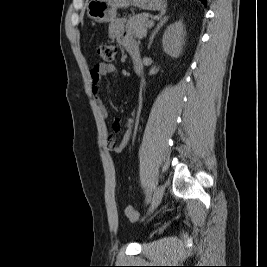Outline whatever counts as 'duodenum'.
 Segmentation results:
<instances>
[{"mask_svg":"<svg viewBox=\"0 0 267 267\" xmlns=\"http://www.w3.org/2000/svg\"><path fill=\"white\" fill-rule=\"evenodd\" d=\"M134 70H135L136 73H140L141 65H140V60L139 59H135L134 60Z\"/></svg>","mask_w":267,"mask_h":267,"instance_id":"410a0bca","label":"duodenum"}]
</instances>
